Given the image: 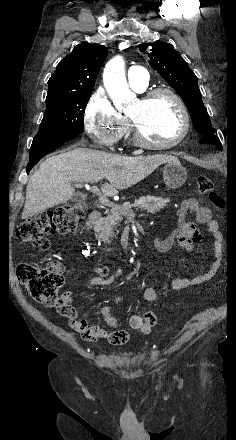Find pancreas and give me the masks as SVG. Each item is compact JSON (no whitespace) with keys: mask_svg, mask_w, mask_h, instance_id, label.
Instances as JSON below:
<instances>
[{"mask_svg":"<svg viewBox=\"0 0 236 440\" xmlns=\"http://www.w3.org/2000/svg\"><path fill=\"white\" fill-rule=\"evenodd\" d=\"M169 201L168 198L148 195L135 200L132 204L117 205L115 209L111 210V213L107 217L99 221L95 227V231L98 232L99 238L103 242L109 243L115 236L116 228L122 221L123 216L129 219L134 217L133 212H131L132 207L144 209L147 210L148 213L155 214L163 209Z\"/></svg>","mask_w":236,"mask_h":440,"instance_id":"obj_1","label":"pancreas"}]
</instances>
